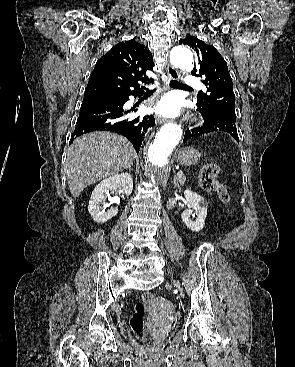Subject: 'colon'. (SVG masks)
I'll list each match as a JSON object with an SVG mask.
<instances>
[{
	"label": "colon",
	"mask_w": 295,
	"mask_h": 367,
	"mask_svg": "<svg viewBox=\"0 0 295 367\" xmlns=\"http://www.w3.org/2000/svg\"><path fill=\"white\" fill-rule=\"evenodd\" d=\"M219 173L220 167L218 164L209 163L205 165L200 172L199 185L205 192L217 194L223 203L228 204L230 202L229 191L216 180ZM153 297L154 295L151 292L143 293L142 302L136 304L135 312L130 318V325L133 331L145 343L149 342V338L143 334V317L145 315L144 302L151 300Z\"/></svg>",
	"instance_id": "colon-1"
}]
</instances>
